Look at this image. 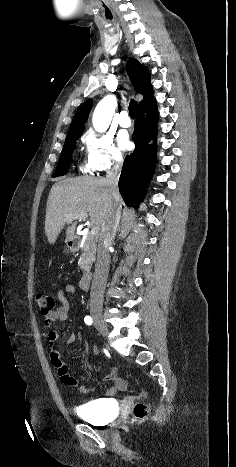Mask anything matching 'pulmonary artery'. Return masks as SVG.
<instances>
[{"label":"pulmonary artery","instance_id":"obj_1","mask_svg":"<svg viewBox=\"0 0 236 467\" xmlns=\"http://www.w3.org/2000/svg\"><path fill=\"white\" fill-rule=\"evenodd\" d=\"M118 123L122 127H129L131 125V119L127 111H122L118 117Z\"/></svg>","mask_w":236,"mask_h":467}]
</instances>
